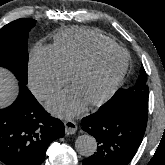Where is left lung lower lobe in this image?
Masks as SVG:
<instances>
[{"mask_svg": "<svg viewBox=\"0 0 165 165\" xmlns=\"http://www.w3.org/2000/svg\"><path fill=\"white\" fill-rule=\"evenodd\" d=\"M147 115L136 112L97 111L81 121L84 131L93 135L97 151L82 165H127L140 146Z\"/></svg>", "mask_w": 165, "mask_h": 165, "instance_id": "0a47b994", "label": "left lung lower lobe"}]
</instances>
